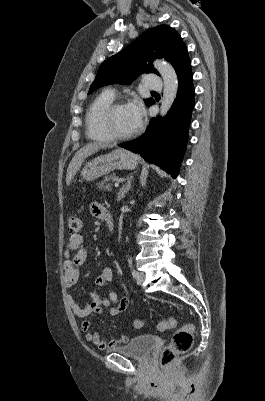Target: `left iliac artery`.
<instances>
[{
  "mask_svg": "<svg viewBox=\"0 0 265 401\" xmlns=\"http://www.w3.org/2000/svg\"><path fill=\"white\" fill-rule=\"evenodd\" d=\"M128 262H129V266H130L131 271H132V276H133L134 278H136V277H137V271L133 268V265H132V258H131V257L129 258Z\"/></svg>",
  "mask_w": 265,
  "mask_h": 401,
  "instance_id": "obj_1",
  "label": "left iliac artery"
}]
</instances>
